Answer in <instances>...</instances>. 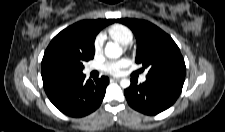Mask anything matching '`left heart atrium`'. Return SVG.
<instances>
[{"label":"left heart atrium","mask_w":225,"mask_h":132,"mask_svg":"<svg viewBox=\"0 0 225 132\" xmlns=\"http://www.w3.org/2000/svg\"><path fill=\"white\" fill-rule=\"evenodd\" d=\"M128 63V60L125 58L119 60L108 61L102 66V70L109 74H118L123 67Z\"/></svg>","instance_id":"39dd6f15"}]
</instances>
